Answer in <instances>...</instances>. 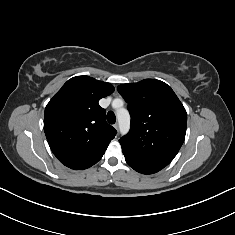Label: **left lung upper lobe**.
Returning <instances> with one entry per match:
<instances>
[{
	"mask_svg": "<svg viewBox=\"0 0 235 235\" xmlns=\"http://www.w3.org/2000/svg\"><path fill=\"white\" fill-rule=\"evenodd\" d=\"M118 92L128 103L131 129L119 142L122 150L168 165L181 148L187 113L169 85L156 79L122 84Z\"/></svg>",
	"mask_w": 235,
	"mask_h": 235,
	"instance_id": "obj_1",
	"label": "left lung upper lobe"
}]
</instances>
